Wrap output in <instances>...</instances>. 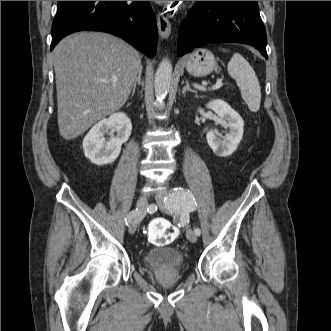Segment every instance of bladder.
<instances>
[{
	"label": "bladder",
	"instance_id": "bladder-1",
	"mask_svg": "<svg viewBox=\"0 0 331 331\" xmlns=\"http://www.w3.org/2000/svg\"><path fill=\"white\" fill-rule=\"evenodd\" d=\"M144 264L152 272L181 270L184 266L183 254L173 247L153 248L144 255Z\"/></svg>",
	"mask_w": 331,
	"mask_h": 331
}]
</instances>
